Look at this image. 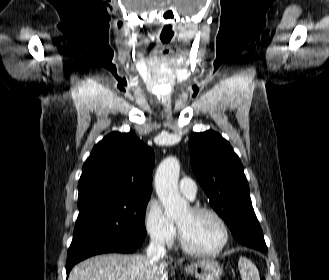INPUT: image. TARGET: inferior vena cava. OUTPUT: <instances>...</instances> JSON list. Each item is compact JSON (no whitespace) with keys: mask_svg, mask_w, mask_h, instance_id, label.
<instances>
[{"mask_svg":"<svg viewBox=\"0 0 329 280\" xmlns=\"http://www.w3.org/2000/svg\"><path fill=\"white\" fill-rule=\"evenodd\" d=\"M147 259L159 261L166 256L164 242L158 238H152L146 251Z\"/></svg>","mask_w":329,"mask_h":280,"instance_id":"obj_1","label":"inferior vena cava"}]
</instances>
